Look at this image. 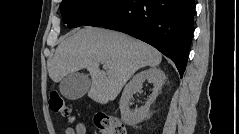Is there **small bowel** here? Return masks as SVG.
<instances>
[{
  "label": "small bowel",
  "instance_id": "1",
  "mask_svg": "<svg viewBox=\"0 0 239 134\" xmlns=\"http://www.w3.org/2000/svg\"><path fill=\"white\" fill-rule=\"evenodd\" d=\"M64 134H86V123L84 120H81L76 125V128L67 127L64 129Z\"/></svg>",
  "mask_w": 239,
  "mask_h": 134
}]
</instances>
